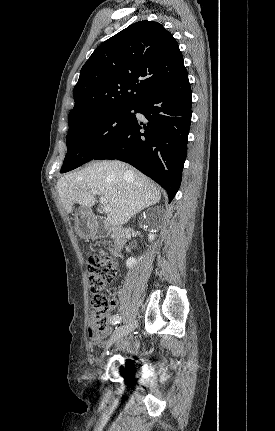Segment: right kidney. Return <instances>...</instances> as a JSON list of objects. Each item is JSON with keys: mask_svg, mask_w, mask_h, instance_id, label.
Listing matches in <instances>:
<instances>
[{"mask_svg": "<svg viewBox=\"0 0 275 431\" xmlns=\"http://www.w3.org/2000/svg\"><path fill=\"white\" fill-rule=\"evenodd\" d=\"M152 232H153V230H152ZM148 239H149L150 242L153 241L155 239V235L154 234H149ZM142 258L143 257H141L139 260H141ZM136 264H137V260L135 258H133V257L132 258L131 257L128 258L127 261H126V266L128 268H132Z\"/></svg>", "mask_w": 275, "mask_h": 431, "instance_id": "1", "label": "right kidney"}]
</instances>
